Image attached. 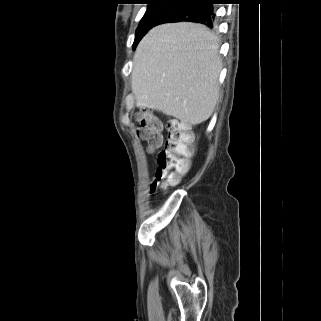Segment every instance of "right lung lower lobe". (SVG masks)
Here are the masks:
<instances>
[{"mask_svg": "<svg viewBox=\"0 0 321 321\" xmlns=\"http://www.w3.org/2000/svg\"><path fill=\"white\" fill-rule=\"evenodd\" d=\"M211 0H190L180 5H175L159 19L157 25L170 22H196L213 27L216 19Z\"/></svg>", "mask_w": 321, "mask_h": 321, "instance_id": "obj_1", "label": "right lung lower lobe"}]
</instances>
